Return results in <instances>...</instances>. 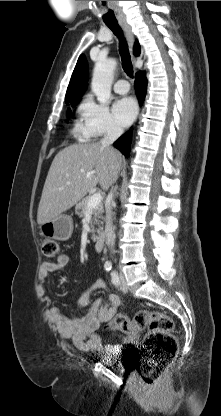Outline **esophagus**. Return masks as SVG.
I'll use <instances>...</instances> for the list:
<instances>
[{
  "label": "esophagus",
  "mask_w": 221,
  "mask_h": 416,
  "mask_svg": "<svg viewBox=\"0 0 221 416\" xmlns=\"http://www.w3.org/2000/svg\"><path fill=\"white\" fill-rule=\"evenodd\" d=\"M121 26L123 27L126 37L130 46V49L132 50L133 44H134V35L131 29V26L127 22H121Z\"/></svg>",
  "instance_id": "esophagus-1"
}]
</instances>
